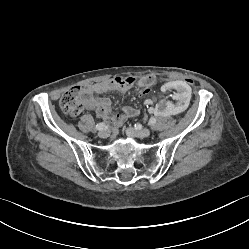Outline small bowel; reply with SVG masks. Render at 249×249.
Wrapping results in <instances>:
<instances>
[{"instance_id":"small-bowel-1","label":"small bowel","mask_w":249,"mask_h":249,"mask_svg":"<svg viewBox=\"0 0 249 249\" xmlns=\"http://www.w3.org/2000/svg\"><path fill=\"white\" fill-rule=\"evenodd\" d=\"M149 77L151 76L146 77L147 80ZM132 86L140 88L141 90L149 87L148 85L140 82L139 79L136 80L129 76H115L107 80L85 85L82 87V91L84 93V107L88 110L95 111L98 117L102 118L112 128L114 134H117L124 122L128 118L137 116L139 114V110L125 106L122 108L120 113L112 115L111 100L106 97H94V94L107 92H117L123 94ZM145 104L147 106L149 105L150 109L151 101H147Z\"/></svg>"}]
</instances>
